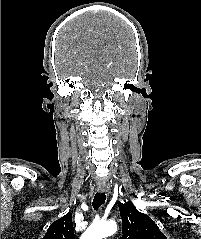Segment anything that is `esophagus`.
<instances>
[{"label":"esophagus","mask_w":201,"mask_h":239,"mask_svg":"<svg viewBox=\"0 0 201 239\" xmlns=\"http://www.w3.org/2000/svg\"><path fill=\"white\" fill-rule=\"evenodd\" d=\"M97 190L99 191V192H101V193H103V192H107V187L106 186H98L97 187Z\"/></svg>","instance_id":"1"}]
</instances>
